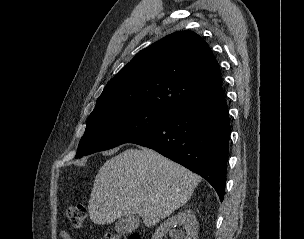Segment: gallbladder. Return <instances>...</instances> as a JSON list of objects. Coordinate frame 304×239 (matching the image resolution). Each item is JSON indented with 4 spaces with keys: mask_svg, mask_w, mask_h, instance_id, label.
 <instances>
[{
    "mask_svg": "<svg viewBox=\"0 0 304 239\" xmlns=\"http://www.w3.org/2000/svg\"><path fill=\"white\" fill-rule=\"evenodd\" d=\"M139 218L134 215L123 216L115 222L114 229L119 234H127L139 226Z\"/></svg>",
    "mask_w": 304,
    "mask_h": 239,
    "instance_id": "bac80fb5",
    "label": "gallbladder"
}]
</instances>
